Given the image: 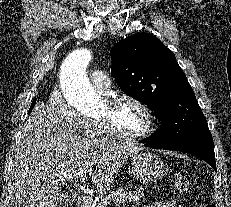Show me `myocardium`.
Wrapping results in <instances>:
<instances>
[{
    "label": "myocardium",
    "mask_w": 231,
    "mask_h": 207,
    "mask_svg": "<svg viewBox=\"0 0 231 207\" xmlns=\"http://www.w3.org/2000/svg\"><path fill=\"white\" fill-rule=\"evenodd\" d=\"M123 102L133 103L141 108L144 112L146 117V126L142 132L130 136L123 134L114 126L112 120V112L118 105ZM105 103L108 110L106 114L99 116L98 121L101 124L102 130L107 137L120 142L131 143L143 140L152 134L155 127V117L151 108L141 99L127 94L112 95L105 100Z\"/></svg>",
    "instance_id": "1"
}]
</instances>
